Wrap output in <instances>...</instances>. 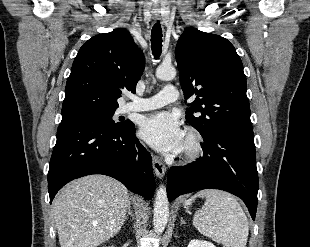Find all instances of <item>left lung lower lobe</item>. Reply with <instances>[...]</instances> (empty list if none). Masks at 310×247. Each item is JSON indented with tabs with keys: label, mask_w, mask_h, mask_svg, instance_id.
<instances>
[{
	"label": "left lung lower lobe",
	"mask_w": 310,
	"mask_h": 247,
	"mask_svg": "<svg viewBox=\"0 0 310 247\" xmlns=\"http://www.w3.org/2000/svg\"><path fill=\"white\" fill-rule=\"evenodd\" d=\"M203 157L183 167H171L167 195L202 189H220L240 197L255 219L258 173L255 162L254 134L251 127H233L218 132L202 144Z\"/></svg>",
	"instance_id": "obj_1"
}]
</instances>
